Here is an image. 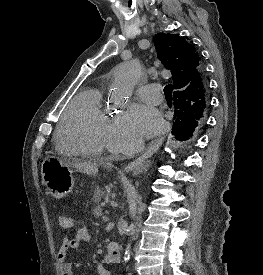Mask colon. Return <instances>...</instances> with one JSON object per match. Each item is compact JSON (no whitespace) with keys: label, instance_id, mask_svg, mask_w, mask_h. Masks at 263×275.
<instances>
[{"label":"colon","instance_id":"5ec220e1","mask_svg":"<svg viewBox=\"0 0 263 275\" xmlns=\"http://www.w3.org/2000/svg\"><path fill=\"white\" fill-rule=\"evenodd\" d=\"M59 225L64 230H69L73 227V219L68 215H60L58 218Z\"/></svg>","mask_w":263,"mask_h":275}]
</instances>
